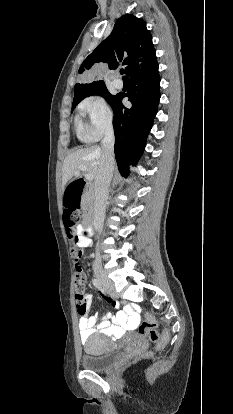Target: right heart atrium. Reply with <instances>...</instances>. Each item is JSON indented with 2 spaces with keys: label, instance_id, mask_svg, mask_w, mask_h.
<instances>
[{
  "label": "right heart atrium",
  "instance_id": "1",
  "mask_svg": "<svg viewBox=\"0 0 233 414\" xmlns=\"http://www.w3.org/2000/svg\"><path fill=\"white\" fill-rule=\"evenodd\" d=\"M82 116L86 118V125L81 134L86 141H96L111 130L113 125V112L100 95L86 97L79 105Z\"/></svg>",
  "mask_w": 233,
  "mask_h": 414
}]
</instances>
